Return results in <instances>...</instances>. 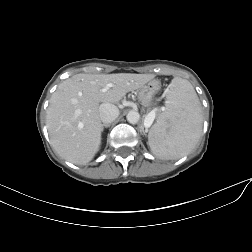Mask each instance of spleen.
I'll list each match as a JSON object with an SVG mask.
<instances>
[{
	"label": "spleen",
	"mask_w": 252,
	"mask_h": 252,
	"mask_svg": "<svg viewBox=\"0 0 252 252\" xmlns=\"http://www.w3.org/2000/svg\"><path fill=\"white\" fill-rule=\"evenodd\" d=\"M165 111L148 134L151 151L161 159H178L197 144L203 125L199 98L188 80L175 77L168 88Z\"/></svg>",
	"instance_id": "obj_1"
}]
</instances>
